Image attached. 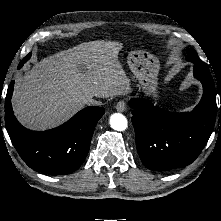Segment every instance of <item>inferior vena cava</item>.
Returning a JSON list of instances; mask_svg holds the SVG:
<instances>
[{
	"instance_id": "1",
	"label": "inferior vena cava",
	"mask_w": 221,
	"mask_h": 221,
	"mask_svg": "<svg viewBox=\"0 0 221 221\" xmlns=\"http://www.w3.org/2000/svg\"><path fill=\"white\" fill-rule=\"evenodd\" d=\"M84 102L86 104H100L99 101H96L95 99H93V97H87L85 98Z\"/></svg>"
}]
</instances>
